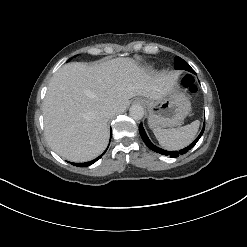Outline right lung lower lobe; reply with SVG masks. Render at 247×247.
<instances>
[{"mask_svg": "<svg viewBox=\"0 0 247 247\" xmlns=\"http://www.w3.org/2000/svg\"><path fill=\"white\" fill-rule=\"evenodd\" d=\"M112 135V134H111ZM106 152V150L103 152V154ZM102 154V155H103ZM99 158H101V156L97 157L96 159L90 161V162H85V163H72L73 165L75 166H78V167H87L91 164H93L94 162H96Z\"/></svg>", "mask_w": 247, "mask_h": 247, "instance_id": "98d812e1", "label": "right lung lower lobe"}]
</instances>
